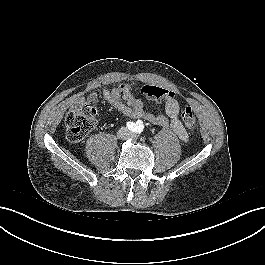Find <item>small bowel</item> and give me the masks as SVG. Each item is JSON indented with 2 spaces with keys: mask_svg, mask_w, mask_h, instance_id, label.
Wrapping results in <instances>:
<instances>
[{
  "mask_svg": "<svg viewBox=\"0 0 265 265\" xmlns=\"http://www.w3.org/2000/svg\"><path fill=\"white\" fill-rule=\"evenodd\" d=\"M167 91L168 94L163 99L165 103V115L147 112L144 103L134 97L128 84H121L111 90L104 89L102 91V97L125 116L140 119L161 127H171L182 141H187L188 132L179 119V104L175 98V94L170 90ZM98 100V94L91 93L86 99L79 97L77 102L83 103L86 101L91 104H96Z\"/></svg>",
  "mask_w": 265,
  "mask_h": 265,
  "instance_id": "c3829d8e",
  "label": "small bowel"
}]
</instances>
